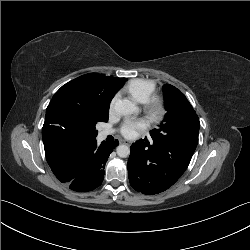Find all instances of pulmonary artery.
Wrapping results in <instances>:
<instances>
[{
	"mask_svg": "<svg viewBox=\"0 0 250 250\" xmlns=\"http://www.w3.org/2000/svg\"><path fill=\"white\" fill-rule=\"evenodd\" d=\"M112 133H113L112 130L106 129V130L101 131L100 136H101L102 138H105V137H107L108 135H110V134H112Z\"/></svg>",
	"mask_w": 250,
	"mask_h": 250,
	"instance_id": "pulmonary-artery-1",
	"label": "pulmonary artery"
}]
</instances>
